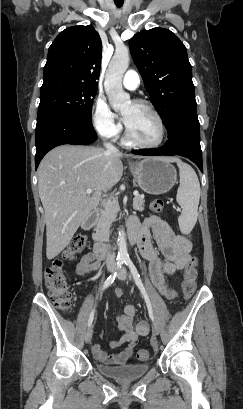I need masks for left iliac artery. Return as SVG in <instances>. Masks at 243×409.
<instances>
[{
  "instance_id": "44dca946",
  "label": "left iliac artery",
  "mask_w": 243,
  "mask_h": 409,
  "mask_svg": "<svg viewBox=\"0 0 243 409\" xmlns=\"http://www.w3.org/2000/svg\"><path fill=\"white\" fill-rule=\"evenodd\" d=\"M124 262L130 268V271H131V274H132V276H133V278L135 280V283L138 286V288L140 289V291H141V293H142V295H143V297L145 299L147 309H148V313H149V317L151 318L152 321H154V315H153V310H152V305H151L150 299H149L148 294H147V292H146V290L144 288V285H143V283L141 281L140 275H139L135 265L133 264V262L131 261L130 258H126Z\"/></svg>"
}]
</instances>
